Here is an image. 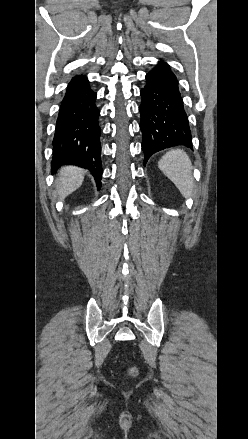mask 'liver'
Listing matches in <instances>:
<instances>
[{"label":"liver","instance_id":"1","mask_svg":"<svg viewBox=\"0 0 248 439\" xmlns=\"http://www.w3.org/2000/svg\"><path fill=\"white\" fill-rule=\"evenodd\" d=\"M85 170L78 167H63L58 174L57 192L62 200L78 189L84 180Z\"/></svg>","mask_w":248,"mask_h":439}]
</instances>
